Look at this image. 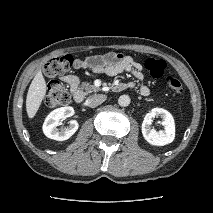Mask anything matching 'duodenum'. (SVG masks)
Wrapping results in <instances>:
<instances>
[{
	"mask_svg": "<svg viewBox=\"0 0 213 213\" xmlns=\"http://www.w3.org/2000/svg\"><path fill=\"white\" fill-rule=\"evenodd\" d=\"M132 87L128 83H118L114 86V90L117 92L126 90L128 88ZM73 98L75 102L77 103H82L85 100V93L82 90H77L76 92L73 93Z\"/></svg>",
	"mask_w": 213,
	"mask_h": 213,
	"instance_id": "duodenum-1",
	"label": "duodenum"
}]
</instances>
